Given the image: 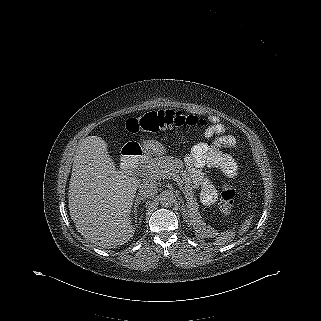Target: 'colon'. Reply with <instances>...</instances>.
<instances>
[{"label": "colon", "mask_w": 321, "mask_h": 321, "mask_svg": "<svg viewBox=\"0 0 321 321\" xmlns=\"http://www.w3.org/2000/svg\"><path fill=\"white\" fill-rule=\"evenodd\" d=\"M207 125L205 119L194 115H186L171 110L154 111L142 117L131 118L127 121V130L131 133L138 132H159L164 129H171L183 125ZM236 190L232 186H225L220 196V209L224 215H229L233 210V203Z\"/></svg>", "instance_id": "colon-1"}]
</instances>
